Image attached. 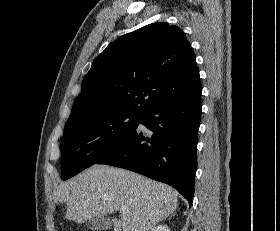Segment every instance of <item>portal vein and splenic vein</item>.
<instances>
[{"mask_svg": "<svg viewBox=\"0 0 280 231\" xmlns=\"http://www.w3.org/2000/svg\"><path fill=\"white\" fill-rule=\"evenodd\" d=\"M121 213H125L126 209H123V207H120Z\"/></svg>", "mask_w": 280, "mask_h": 231, "instance_id": "1", "label": "portal vein and splenic vein"}]
</instances>
